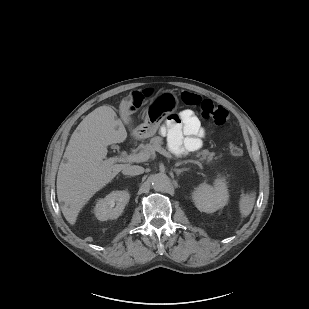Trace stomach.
<instances>
[{
    "mask_svg": "<svg viewBox=\"0 0 309 309\" xmlns=\"http://www.w3.org/2000/svg\"><path fill=\"white\" fill-rule=\"evenodd\" d=\"M178 104L179 100L174 92L170 90L158 92L146 107L144 123L133 130V135L138 138L153 136L161 122L176 111Z\"/></svg>",
    "mask_w": 309,
    "mask_h": 309,
    "instance_id": "stomach-1",
    "label": "stomach"
}]
</instances>
